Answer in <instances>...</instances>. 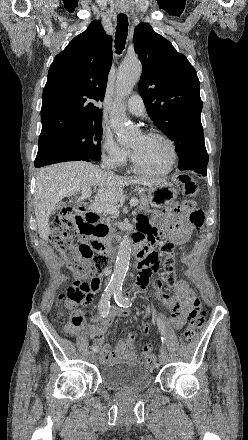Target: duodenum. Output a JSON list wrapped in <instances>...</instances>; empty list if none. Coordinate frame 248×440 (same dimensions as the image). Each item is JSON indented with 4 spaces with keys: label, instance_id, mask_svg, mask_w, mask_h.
Returning <instances> with one entry per match:
<instances>
[{
    "label": "duodenum",
    "instance_id": "410a0bca",
    "mask_svg": "<svg viewBox=\"0 0 248 440\" xmlns=\"http://www.w3.org/2000/svg\"><path fill=\"white\" fill-rule=\"evenodd\" d=\"M98 219L96 214L87 213L83 218L82 232L84 234L94 233V226L98 222ZM93 245L106 256H111L114 252L108 241H97L95 235L93 236ZM133 254L135 259L139 262V268L143 266L142 259L150 255V246L138 235H135L133 238ZM106 272H103V274Z\"/></svg>",
    "mask_w": 248,
    "mask_h": 440
}]
</instances>
